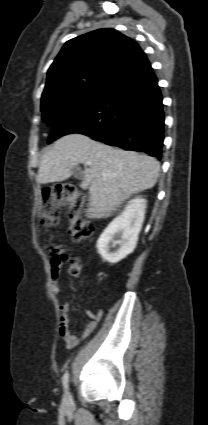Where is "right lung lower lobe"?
Masks as SVG:
<instances>
[{
	"label": "right lung lower lobe",
	"mask_w": 208,
	"mask_h": 425,
	"mask_svg": "<svg viewBox=\"0 0 208 425\" xmlns=\"http://www.w3.org/2000/svg\"><path fill=\"white\" fill-rule=\"evenodd\" d=\"M162 94L146 56L114 79L94 104L65 115L48 142L79 133L123 149L161 158L164 139Z\"/></svg>",
	"instance_id": "98d812e1"
}]
</instances>
